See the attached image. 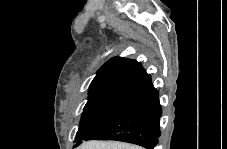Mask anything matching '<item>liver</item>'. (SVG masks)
Masks as SVG:
<instances>
[{"label": "liver", "mask_w": 227, "mask_h": 149, "mask_svg": "<svg viewBox=\"0 0 227 149\" xmlns=\"http://www.w3.org/2000/svg\"><path fill=\"white\" fill-rule=\"evenodd\" d=\"M79 149H141L139 146L116 141H89L83 143Z\"/></svg>", "instance_id": "obj_1"}]
</instances>
